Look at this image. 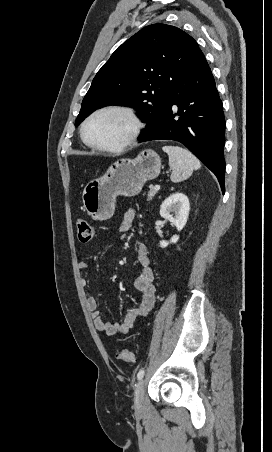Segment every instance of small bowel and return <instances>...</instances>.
<instances>
[{"mask_svg":"<svg viewBox=\"0 0 272 452\" xmlns=\"http://www.w3.org/2000/svg\"><path fill=\"white\" fill-rule=\"evenodd\" d=\"M135 219V211L133 209L125 212L119 225V232H128ZM136 259L140 265L141 271L134 279V287L140 293L141 302L138 306L131 308L122 321L110 322L106 320L103 314L98 310L97 301L93 297L87 299V307L91 312L95 329L107 336L127 334L134 327L136 321L146 316L154 306L156 299V287L154 285V272L150 266L148 250L145 244L139 243L136 249ZM89 263L85 260L78 262L80 270H87ZM81 284L88 286L87 278H81Z\"/></svg>","mask_w":272,"mask_h":452,"instance_id":"obj_1","label":"small bowel"}]
</instances>
